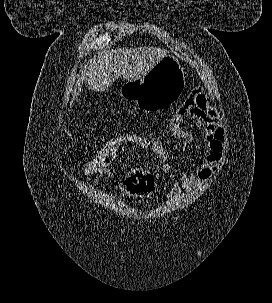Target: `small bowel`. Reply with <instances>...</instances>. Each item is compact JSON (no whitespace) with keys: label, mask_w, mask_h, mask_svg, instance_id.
<instances>
[{"label":"small bowel","mask_w":272,"mask_h":303,"mask_svg":"<svg viewBox=\"0 0 272 303\" xmlns=\"http://www.w3.org/2000/svg\"><path fill=\"white\" fill-rule=\"evenodd\" d=\"M191 118L194 125L201 130L202 137V158L191 170L178 169L177 174L170 176L172 187L167 193V199L176 198L181 189L193 190L197 185L202 184L216 171L224 154L225 130L221 125L220 117L216 109L209 103L202 89L193 90L185 101L176 109L169 121V136L181 141L184 145L193 139V132L183 128L182 121ZM132 146L149 150L162 162L161 169L167 171L171 168L168 162V151L159 139L149 140L144 137H136ZM139 170H133L121 175H116L114 170L106 172L100 177L117 178L119 187L125 194H132L134 185L138 179Z\"/></svg>","instance_id":"small-bowel-1"}]
</instances>
